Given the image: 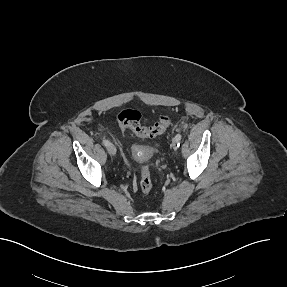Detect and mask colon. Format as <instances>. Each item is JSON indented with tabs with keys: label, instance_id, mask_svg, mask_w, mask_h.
Instances as JSON below:
<instances>
[{
	"label": "colon",
	"instance_id": "5ec220e1",
	"mask_svg": "<svg viewBox=\"0 0 287 287\" xmlns=\"http://www.w3.org/2000/svg\"><path fill=\"white\" fill-rule=\"evenodd\" d=\"M117 123L122 133L130 131L142 138H155L163 134L170 124V118L167 115H160L155 123L150 126H144L141 122V114L133 109H124L116 117ZM137 186L145 194L152 190V181L150 170L147 166L140 167V177Z\"/></svg>",
	"mask_w": 287,
	"mask_h": 287
}]
</instances>
